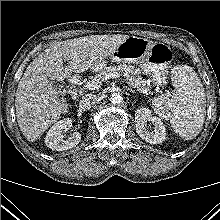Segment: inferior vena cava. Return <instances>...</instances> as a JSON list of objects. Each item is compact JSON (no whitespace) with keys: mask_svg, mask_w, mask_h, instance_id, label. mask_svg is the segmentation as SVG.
<instances>
[{"mask_svg":"<svg viewBox=\"0 0 220 220\" xmlns=\"http://www.w3.org/2000/svg\"><path fill=\"white\" fill-rule=\"evenodd\" d=\"M99 102V99L97 95L95 94H86L85 96L82 97V99L79 102V106L81 109L85 110H90L96 104Z\"/></svg>","mask_w":220,"mask_h":220,"instance_id":"602c4592","label":"inferior vena cava"}]
</instances>
